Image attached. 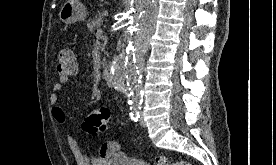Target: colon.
Instances as JSON below:
<instances>
[{
	"instance_id": "1",
	"label": "colon",
	"mask_w": 276,
	"mask_h": 165,
	"mask_svg": "<svg viewBox=\"0 0 276 165\" xmlns=\"http://www.w3.org/2000/svg\"><path fill=\"white\" fill-rule=\"evenodd\" d=\"M57 74L61 78H70L77 72V62L74 51L71 48H64L58 54ZM110 117V112L105 107H100L93 110L84 120L83 128L86 132L92 135L102 134ZM114 143H104L101 147V152L111 151L115 149ZM154 165H191L186 161L170 162L164 156H157L154 159Z\"/></svg>"
}]
</instances>
